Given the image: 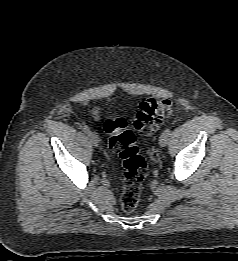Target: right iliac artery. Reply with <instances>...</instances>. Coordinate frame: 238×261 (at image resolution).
I'll return each mask as SVG.
<instances>
[{"instance_id": "82829eb1", "label": "right iliac artery", "mask_w": 238, "mask_h": 261, "mask_svg": "<svg viewBox=\"0 0 238 261\" xmlns=\"http://www.w3.org/2000/svg\"><path fill=\"white\" fill-rule=\"evenodd\" d=\"M83 131L86 133V134H88L89 132H90V129H89V127L88 126H83Z\"/></svg>"}]
</instances>
